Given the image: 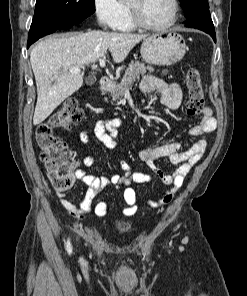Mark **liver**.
Returning <instances> with one entry per match:
<instances>
[{"label":"liver","instance_id":"liver-1","mask_svg":"<svg viewBox=\"0 0 247 296\" xmlns=\"http://www.w3.org/2000/svg\"><path fill=\"white\" fill-rule=\"evenodd\" d=\"M146 35L89 31L68 37H50L37 43L30 63L37 86V104L33 124L43 122L65 99L83 85V69L110 51L115 63L122 62Z\"/></svg>","mask_w":247,"mask_h":296}]
</instances>
